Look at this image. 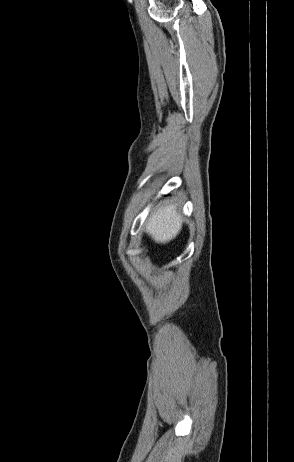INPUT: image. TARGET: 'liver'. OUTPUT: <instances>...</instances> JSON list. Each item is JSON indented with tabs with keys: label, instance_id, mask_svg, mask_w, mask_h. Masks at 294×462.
<instances>
[{
	"label": "liver",
	"instance_id": "1",
	"mask_svg": "<svg viewBox=\"0 0 294 462\" xmlns=\"http://www.w3.org/2000/svg\"><path fill=\"white\" fill-rule=\"evenodd\" d=\"M183 219L175 206L158 208L146 223V232L157 243L174 239L182 228Z\"/></svg>",
	"mask_w": 294,
	"mask_h": 462
}]
</instances>
